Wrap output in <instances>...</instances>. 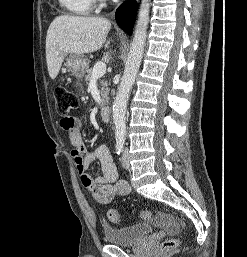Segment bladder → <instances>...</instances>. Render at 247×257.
Here are the masks:
<instances>
[{"label": "bladder", "mask_w": 247, "mask_h": 257, "mask_svg": "<svg viewBox=\"0 0 247 257\" xmlns=\"http://www.w3.org/2000/svg\"><path fill=\"white\" fill-rule=\"evenodd\" d=\"M152 232V228L148 224H135L128 227H110L104 228V236L107 242L118 246L134 245Z\"/></svg>", "instance_id": "obj_1"}]
</instances>
